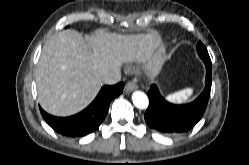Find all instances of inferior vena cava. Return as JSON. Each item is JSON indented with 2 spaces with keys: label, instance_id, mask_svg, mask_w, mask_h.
I'll list each match as a JSON object with an SVG mask.
<instances>
[{
  "label": "inferior vena cava",
  "instance_id": "inferior-vena-cava-1",
  "mask_svg": "<svg viewBox=\"0 0 249 165\" xmlns=\"http://www.w3.org/2000/svg\"><path fill=\"white\" fill-rule=\"evenodd\" d=\"M121 80V73L119 71H110L102 75V82L108 85H114Z\"/></svg>",
  "mask_w": 249,
  "mask_h": 165
}]
</instances>
